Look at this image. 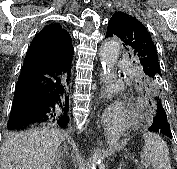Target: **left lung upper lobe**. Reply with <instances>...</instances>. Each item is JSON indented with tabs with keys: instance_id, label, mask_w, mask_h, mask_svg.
<instances>
[{
	"instance_id": "obj_1",
	"label": "left lung upper lobe",
	"mask_w": 177,
	"mask_h": 169,
	"mask_svg": "<svg viewBox=\"0 0 177 169\" xmlns=\"http://www.w3.org/2000/svg\"><path fill=\"white\" fill-rule=\"evenodd\" d=\"M119 37L125 44L129 56L136 58L142 67L146 87L160 95L162 73L155 44L146 27L135 17L124 12H116L108 23L107 37Z\"/></svg>"
}]
</instances>
